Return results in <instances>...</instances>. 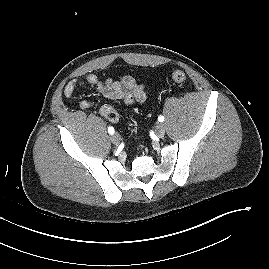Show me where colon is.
Masks as SVG:
<instances>
[{
  "instance_id": "obj_1",
  "label": "colon",
  "mask_w": 269,
  "mask_h": 269,
  "mask_svg": "<svg viewBox=\"0 0 269 269\" xmlns=\"http://www.w3.org/2000/svg\"><path fill=\"white\" fill-rule=\"evenodd\" d=\"M172 79L180 84V85H184L186 82V75L183 71L180 70H176L172 73ZM106 112V117L107 119L111 120V121H117L119 116L116 113V111L112 108V107H106L105 109Z\"/></svg>"
}]
</instances>
